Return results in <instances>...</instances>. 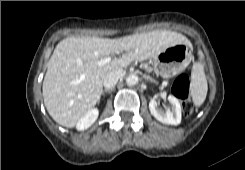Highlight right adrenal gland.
Listing matches in <instances>:
<instances>
[{
    "label": "right adrenal gland",
    "instance_id": "right-adrenal-gland-1",
    "mask_svg": "<svg viewBox=\"0 0 245 170\" xmlns=\"http://www.w3.org/2000/svg\"><path fill=\"white\" fill-rule=\"evenodd\" d=\"M112 91V89H105L103 92H102V95H104V93H109V92H111Z\"/></svg>",
    "mask_w": 245,
    "mask_h": 170
}]
</instances>
